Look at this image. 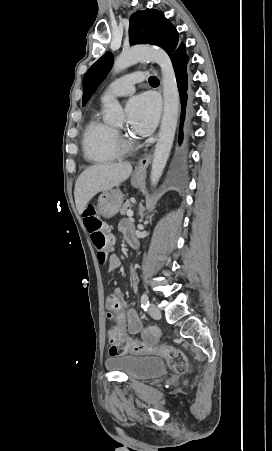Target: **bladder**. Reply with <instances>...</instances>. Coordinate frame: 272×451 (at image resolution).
Listing matches in <instances>:
<instances>
[{
	"instance_id": "31cf9c89",
	"label": "bladder",
	"mask_w": 272,
	"mask_h": 451,
	"mask_svg": "<svg viewBox=\"0 0 272 451\" xmlns=\"http://www.w3.org/2000/svg\"><path fill=\"white\" fill-rule=\"evenodd\" d=\"M108 371L126 375L131 380L160 377L166 371L164 358L131 353L111 354L105 360Z\"/></svg>"
}]
</instances>
